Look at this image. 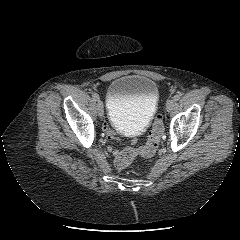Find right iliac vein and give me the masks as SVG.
I'll return each instance as SVG.
<instances>
[{
	"label": "right iliac vein",
	"mask_w": 240,
	"mask_h": 240,
	"mask_svg": "<svg viewBox=\"0 0 240 240\" xmlns=\"http://www.w3.org/2000/svg\"><path fill=\"white\" fill-rule=\"evenodd\" d=\"M97 112H98L99 117L102 119L104 117V106H103L102 101H100V100L97 103Z\"/></svg>",
	"instance_id": "1"
}]
</instances>
